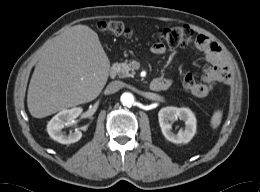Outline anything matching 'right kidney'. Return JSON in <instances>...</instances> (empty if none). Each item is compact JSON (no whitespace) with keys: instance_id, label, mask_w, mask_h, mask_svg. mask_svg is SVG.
<instances>
[{"instance_id":"1","label":"right kidney","mask_w":260,"mask_h":192,"mask_svg":"<svg viewBox=\"0 0 260 192\" xmlns=\"http://www.w3.org/2000/svg\"><path fill=\"white\" fill-rule=\"evenodd\" d=\"M82 113V108L75 107L72 109H64L56 114L47 125V132L52 139L62 144H71L79 141L82 137V132L75 130L73 133L65 135L62 129L65 124L76 119Z\"/></svg>"}]
</instances>
